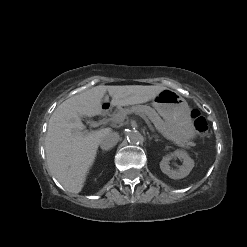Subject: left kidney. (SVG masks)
I'll use <instances>...</instances> for the list:
<instances>
[{
    "mask_svg": "<svg viewBox=\"0 0 247 247\" xmlns=\"http://www.w3.org/2000/svg\"><path fill=\"white\" fill-rule=\"evenodd\" d=\"M173 158H179L183 161V165H181L177 170L171 169L169 165L170 160ZM193 167V159H191L190 156L183 150H176L173 153L164 156L160 162L161 171L172 179H181L186 177L189 175Z\"/></svg>",
    "mask_w": 247,
    "mask_h": 247,
    "instance_id": "left-kidney-1",
    "label": "left kidney"
}]
</instances>
